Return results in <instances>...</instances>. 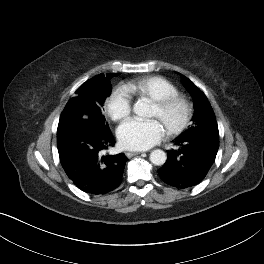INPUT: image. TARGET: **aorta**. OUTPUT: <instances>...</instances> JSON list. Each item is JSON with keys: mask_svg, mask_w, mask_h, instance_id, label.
<instances>
[{"mask_svg": "<svg viewBox=\"0 0 264 264\" xmlns=\"http://www.w3.org/2000/svg\"><path fill=\"white\" fill-rule=\"evenodd\" d=\"M150 105L143 101H137L133 106V112L140 116L146 117L149 115ZM167 155L163 150L157 149L150 153V161L157 166H161L166 162Z\"/></svg>", "mask_w": 264, "mask_h": 264, "instance_id": "1", "label": "aorta"}]
</instances>
